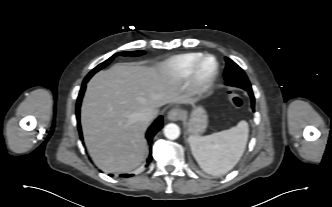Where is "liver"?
Masks as SVG:
<instances>
[{
    "label": "liver",
    "mask_w": 332,
    "mask_h": 207,
    "mask_svg": "<svg viewBox=\"0 0 332 207\" xmlns=\"http://www.w3.org/2000/svg\"><path fill=\"white\" fill-rule=\"evenodd\" d=\"M164 65L118 63L89 81L81 107L88 152L98 168L124 173L137 167L146 151L147 123L137 113L169 103H186Z\"/></svg>",
    "instance_id": "1"
}]
</instances>
